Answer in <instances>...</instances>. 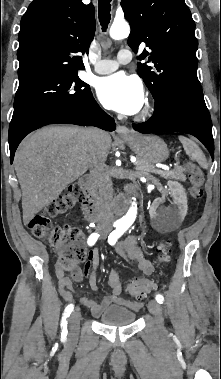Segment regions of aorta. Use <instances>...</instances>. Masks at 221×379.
I'll list each match as a JSON object with an SVG mask.
<instances>
[{"instance_id":"762f6f07","label":"aorta","mask_w":221,"mask_h":379,"mask_svg":"<svg viewBox=\"0 0 221 379\" xmlns=\"http://www.w3.org/2000/svg\"><path fill=\"white\" fill-rule=\"evenodd\" d=\"M130 34V27L128 23H113L110 28V36L115 40L128 37ZM137 206L133 202L127 213L120 219V224L123 227H129L136 218Z\"/></svg>"}]
</instances>
